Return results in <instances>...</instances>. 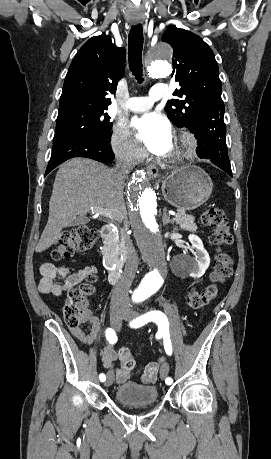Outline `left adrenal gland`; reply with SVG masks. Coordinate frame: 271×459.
<instances>
[{"label":"left adrenal gland","mask_w":271,"mask_h":459,"mask_svg":"<svg viewBox=\"0 0 271 459\" xmlns=\"http://www.w3.org/2000/svg\"><path fill=\"white\" fill-rule=\"evenodd\" d=\"M162 222H163V226H166V224H174L173 220H170L167 214V208H164L163 210Z\"/></svg>","instance_id":"obj_1"}]
</instances>
